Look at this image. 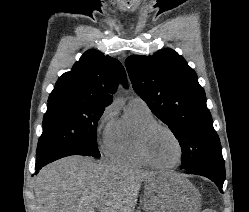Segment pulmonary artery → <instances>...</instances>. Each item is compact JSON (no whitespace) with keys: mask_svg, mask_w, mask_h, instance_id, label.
<instances>
[{"mask_svg":"<svg viewBox=\"0 0 249 212\" xmlns=\"http://www.w3.org/2000/svg\"><path fill=\"white\" fill-rule=\"evenodd\" d=\"M131 101H135V102H140V103L146 104V103L144 102V100L141 99L140 97H134V98H132Z\"/></svg>","mask_w":249,"mask_h":212,"instance_id":"pulmonary-artery-1","label":"pulmonary artery"}]
</instances>
